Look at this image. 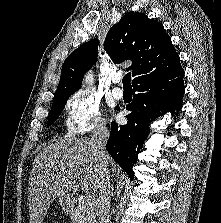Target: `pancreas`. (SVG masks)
I'll use <instances>...</instances> for the list:
<instances>
[{"mask_svg": "<svg viewBox=\"0 0 221 223\" xmlns=\"http://www.w3.org/2000/svg\"><path fill=\"white\" fill-rule=\"evenodd\" d=\"M72 223H96L94 204L84 200L70 214Z\"/></svg>", "mask_w": 221, "mask_h": 223, "instance_id": "obj_1", "label": "pancreas"}]
</instances>
